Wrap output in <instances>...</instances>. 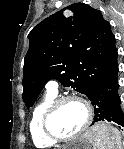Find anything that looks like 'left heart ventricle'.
Here are the masks:
<instances>
[{
  "label": "left heart ventricle",
  "mask_w": 124,
  "mask_h": 149,
  "mask_svg": "<svg viewBox=\"0 0 124 149\" xmlns=\"http://www.w3.org/2000/svg\"><path fill=\"white\" fill-rule=\"evenodd\" d=\"M85 119V107L79 102L68 101L58 107L50 125L56 135L67 137L79 131Z\"/></svg>",
  "instance_id": "1"
}]
</instances>
